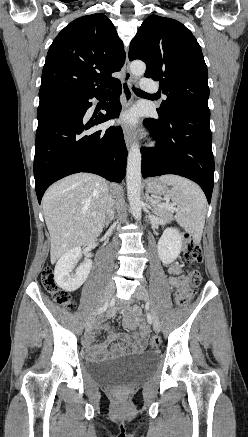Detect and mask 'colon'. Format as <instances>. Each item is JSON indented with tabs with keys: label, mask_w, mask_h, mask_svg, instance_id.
<instances>
[{
	"label": "colon",
	"mask_w": 248,
	"mask_h": 437,
	"mask_svg": "<svg viewBox=\"0 0 248 437\" xmlns=\"http://www.w3.org/2000/svg\"><path fill=\"white\" fill-rule=\"evenodd\" d=\"M185 260L186 263L194 267L202 262V249L198 242L191 238L185 240ZM41 281L44 288L51 294L53 299L59 305H62L68 310L75 308V303L71 299L70 295L61 290L55 280L54 272L50 266L43 269L41 275ZM201 282V275L198 270L192 269L188 275L181 276L180 282L175 289V300L178 305L185 306L189 303L191 296L194 293V289L199 286ZM150 349H157L160 346V340L157 337H151L148 342Z\"/></svg>",
	"instance_id": "1"
}]
</instances>
